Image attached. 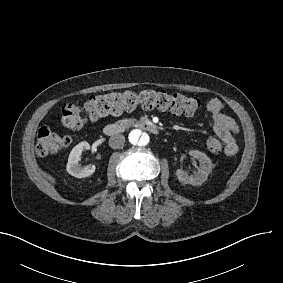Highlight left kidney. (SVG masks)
Segmentation results:
<instances>
[{"mask_svg":"<svg viewBox=\"0 0 283 283\" xmlns=\"http://www.w3.org/2000/svg\"><path fill=\"white\" fill-rule=\"evenodd\" d=\"M188 154L200 162V165L197 168V172L195 173V175L190 176L182 168H178L176 170V176L183 184L201 185L204 181L207 180L209 173L213 169V164L205 154L197 150H190L188 151Z\"/></svg>","mask_w":283,"mask_h":283,"instance_id":"5707ae66","label":"left kidney"}]
</instances>
